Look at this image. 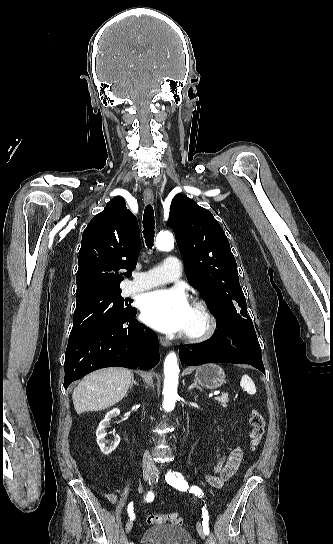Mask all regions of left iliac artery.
I'll use <instances>...</instances> for the list:
<instances>
[{
    "label": "left iliac artery",
    "instance_id": "left-iliac-artery-1",
    "mask_svg": "<svg viewBox=\"0 0 333 544\" xmlns=\"http://www.w3.org/2000/svg\"><path fill=\"white\" fill-rule=\"evenodd\" d=\"M165 479L169 485H171L172 487L180 491L185 492L189 488L187 481L184 479L181 473L170 470L167 472ZM189 492L197 495L200 498L203 497L202 490L197 486H192L189 489ZM202 519H203L202 521L203 531L206 535H209V515L206 509V504L202 508Z\"/></svg>",
    "mask_w": 333,
    "mask_h": 544
}]
</instances>
